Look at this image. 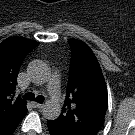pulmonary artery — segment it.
<instances>
[{"mask_svg": "<svg viewBox=\"0 0 135 135\" xmlns=\"http://www.w3.org/2000/svg\"><path fill=\"white\" fill-rule=\"evenodd\" d=\"M59 82V75L57 72H54L49 80L48 90L52 98V102L55 104H60Z\"/></svg>", "mask_w": 135, "mask_h": 135, "instance_id": "pulmonary-artery-1", "label": "pulmonary artery"}]
</instances>
